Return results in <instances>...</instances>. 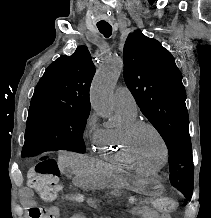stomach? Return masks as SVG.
Listing matches in <instances>:
<instances>
[{"mask_svg":"<svg viewBox=\"0 0 211 218\" xmlns=\"http://www.w3.org/2000/svg\"><path fill=\"white\" fill-rule=\"evenodd\" d=\"M77 185L88 189L122 187L141 194L156 196L161 194V180L157 176L141 177L126 174H92L84 173L76 176Z\"/></svg>","mask_w":211,"mask_h":218,"instance_id":"0dacf381","label":"stomach"}]
</instances>
